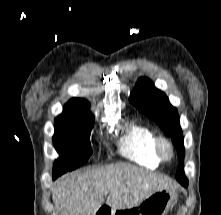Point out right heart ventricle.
Returning a JSON list of instances; mask_svg holds the SVG:
<instances>
[{
    "label": "right heart ventricle",
    "instance_id": "obj_1",
    "mask_svg": "<svg viewBox=\"0 0 221 215\" xmlns=\"http://www.w3.org/2000/svg\"><path fill=\"white\" fill-rule=\"evenodd\" d=\"M154 133L145 124L131 120L117 141L119 153L145 167H155L158 159L154 152Z\"/></svg>",
    "mask_w": 221,
    "mask_h": 215
}]
</instances>
